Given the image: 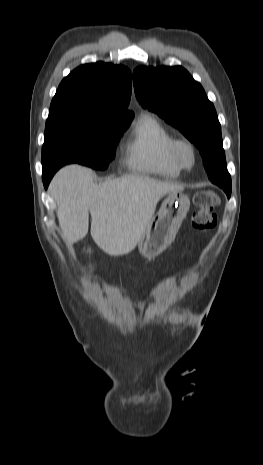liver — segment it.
Here are the masks:
<instances>
[{"label": "liver", "mask_w": 263, "mask_h": 465, "mask_svg": "<svg viewBox=\"0 0 263 465\" xmlns=\"http://www.w3.org/2000/svg\"><path fill=\"white\" fill-rule=\"evenodd\" d=\"M93 176L89 168L66 166L56 173L49 191L57 203L66 242L71 244L87 235L90 212L91 236L111 256L134 250L159 200L184 189L142 175H124L99 184Z\"/></svg>", "instance_id": "6515ba94"}]
</instances>
